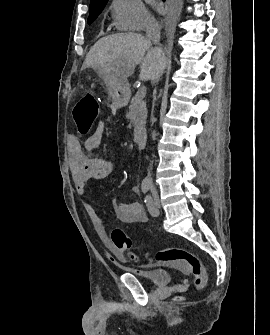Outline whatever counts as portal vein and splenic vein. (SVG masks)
<instances>
[{"mask_svg":"<svg viewBox=\"0 0 270 335\" xmlns=\"http://www.w3.org/2000/svg\"><path fill=\"white\" fill-rule=\"evenodd\" d=\"M146 92H147V87L146 86H141L140 88H137L136 96H135L136 101H143V99H144L143 95Z\"/></svg>","mask_w":270,"mask_h":335,"instance_id":"portal-vein-and-splenic-vein-1","label":"portal vein and splenic vein"}]
</instances>
